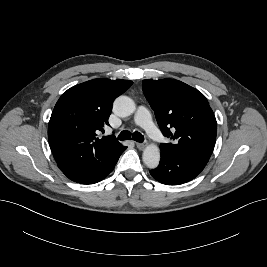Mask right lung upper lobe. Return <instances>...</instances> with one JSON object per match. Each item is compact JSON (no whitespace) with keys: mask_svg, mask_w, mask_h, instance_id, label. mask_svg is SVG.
<instances>
[{"mask_svg":"<svg viewBox=\"0 0 267 267\" xmlns=\"http://www.w3.org/2000/svg\"><path fill=\"white\" fill-rule=\"evenodd\" d=\"M132 84L129 80L100 78L62 94L48 126L49 144L57 163L92 164L122 146L114 136L99 139L96 135L109 125L115 98Z\"/></svg>","mask_w":267,"mask_h":267,"instance_id":"obj_1","label":"right lung upper lobe"}]
</instances>
